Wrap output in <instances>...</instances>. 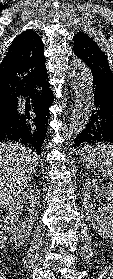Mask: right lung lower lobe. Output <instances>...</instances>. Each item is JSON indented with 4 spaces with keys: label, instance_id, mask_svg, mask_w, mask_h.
I'll return each mask as SVG.
<instances>
[{
    "label": "right lung lower lobe",
    "instance_id": "right-lung-lower-lobe-1",
    "mask_svg": "<svg viewBox=\"0 0 113 279\" xmlns=\"http://www.w3.org/2000/svg\"><path fill=\"white\" fill-rule=\"evenodd\" d=\"M32 91L36 93L31 106L34 116L30 114L29 110L25 113L18 112L15 105L14 115L7 121L0 123V142H19L41 153L47 132L49 107L53 101V92L49 87L47 74L25 96H29Z\"/></svg>",
    "mask_w": 113,
    "mask_h": 279
}]
</instances>
